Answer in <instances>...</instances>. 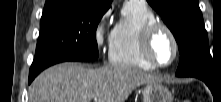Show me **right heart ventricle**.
<instances>
[{
	"instance_id": "right-heart-ventricle-1",
	"label": "right heart ventricle",
	"mask_w": 221,
	"mask_h": 102,
	"mask_svg": "<svg viewBox=\"0 0 221 102\" xmlns=\"http://www.w3.org/2000/svg\"><path fill=\"white\" fill-rule=\"evenodd\" d=\"M154 21H157L156 16L144 1H126L112 30L110 63L120 67L154 69L144 60L140 51L141 32L147 24Z\"/></svg>"
}]
</instances>
